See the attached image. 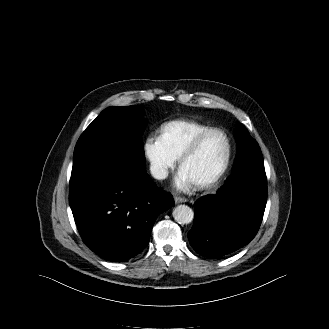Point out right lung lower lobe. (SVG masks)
Returning <instances> with one entry per match:
<instances>
[{
    "instance_id": "obj_1",
    "label": "right lung lower lobe",
    "mask_w": 329,
    "mask_h": 329,
    "mask_svg": "<svg viewBox=\"0 0 329 329\" xmlns=\"http://www.w3.org/2000/svg\"><path fill=\"white\" fill-rule=\"evenodd\" d=\"M69 202L82 240L108 261H126L149 243L158 215L173 206L143 172L96 167L70 180Z\"/></svg>"
}]
</instances>
